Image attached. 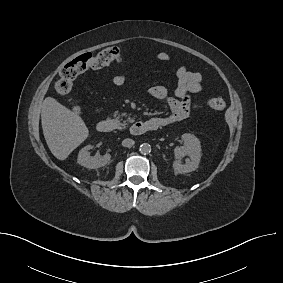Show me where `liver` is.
<instances>
[{
    "label": "liver",
    "mask_w": 283,
    "mask_h": 283,
    "mask_svg": "<svg viewBox=\"0 0 283 283\" xmlns=\"http://www.w3.org/2000/svg\"><path fill=\"white\" fill-rule=\"evenodd\" d=\"M41 122L46 143L59 160H65L89 135L82 118L52 97L43 101Z\"/></svg>",
    "instance_id": "1"
}]
</instances>
